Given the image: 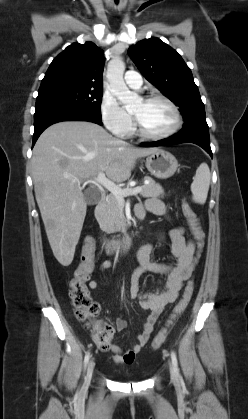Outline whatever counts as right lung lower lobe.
Wrapping results in <instances>:
<instances>
[{
    "instance_id": "98d812e1",
    "label": "right lung lower lobe",
    "mask_w": 248,
    "mask_h": 419,
    "mask_svg": "<svg viewBox=\"0 0 248 419\" xmlns=\"http://www.w3.org/2000/svg\"><path fill=\"white\" fill-rule=\"evenodd\" d=\"M61 121H89L102 125L101 118L76 107H52L37 110L34 114L33 146L47 127Z\"/></svg>"
}]
</instances>
